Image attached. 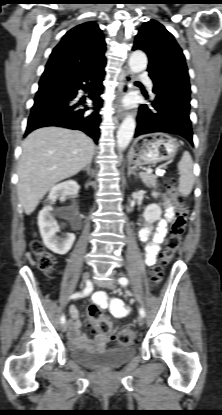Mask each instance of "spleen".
<instances>
[{
	"label": "spleen",
	"instance_id": "obj_1",
	"mask_svg": "<svg viewBox=\"0 0 222 415\" xmlns=\"http://www.w3.org/2000/svg\"><path fill=\"white\" fill-rule=\"evenodd\" d=\"M193 166L191 155L185 151L180 162L178 163L180 174L178 191L184 197L191 193L194 185L195 177L193 173Z\"/></svg>",
	"mask_w": 222,
	"mask_h": 415
}]
</instances>
